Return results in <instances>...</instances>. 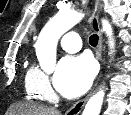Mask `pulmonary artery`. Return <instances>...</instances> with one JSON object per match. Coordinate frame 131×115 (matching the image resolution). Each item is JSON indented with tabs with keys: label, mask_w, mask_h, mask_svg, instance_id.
<instances>
[{
	"label": "pulmonary artery",
	"mask_w": 131,
	"mask_h": 115,
	"mask_svg": "<svg viewBox=\"0 0 131 115\" xmlns=\"http://www.w3.org/2000/svg\"><path fill=\"white\" fill-rule=\"evenodd\" d=\"M61 47L67 52H77L81 48V39L78 33L68 32L60 39Z\"/></svg>",
	"instance_id": "obj_1"
}]
</instances>
